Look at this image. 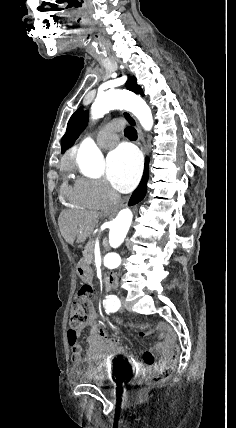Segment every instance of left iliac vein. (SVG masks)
Returning <instances> with one entry per match:
<instances>
[{"instance_id":"obj_1","label":"left iliac vein","mask_w":236,"mask_h":428,"mask_svg":"<svg viewBox=\"0 0 236 428\" xmlns=\"http://www.w3.org/2000/svg\"><path fill=\"white\" fill-rule=\"evenodd\" d=\"M120 302H121L122 304L125 302V301H124V297H123V296L121 297V301H120Z\"/></svg>"}]
</instances>
